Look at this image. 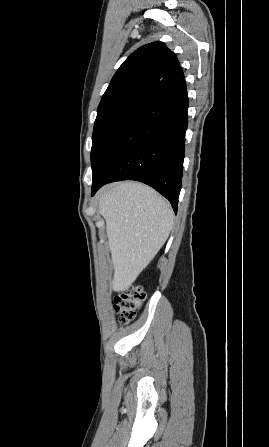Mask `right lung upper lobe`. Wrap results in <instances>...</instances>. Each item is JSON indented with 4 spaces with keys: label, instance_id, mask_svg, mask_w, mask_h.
I'll list each match as a JSON object with an SVG mask.
<instances>
[{
    "label": "right lung upper lobe",
    "instance_id": "right-lung-upper-lobe-1",
    "mask_svg": "<svg viewBox=\"0 0 269 447\" xmlns=\"http://www.w3.org/2000/svg\"><path fill=\"white\" fill-rule=\"evenodd\" d=\"M184 79L175 54L162 42L144 45L131 54L113 76L97 116L122 107L142 108L164 89Z\"/></svg>",
    "mask_w": 269,
    "mask_h": 447
}]
</instances>
